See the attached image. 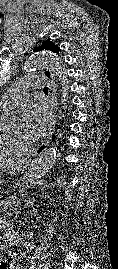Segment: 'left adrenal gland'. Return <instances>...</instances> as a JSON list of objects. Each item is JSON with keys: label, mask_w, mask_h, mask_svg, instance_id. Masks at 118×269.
Instances as JSON below:
<instances>
[{"label": "left adrenal gland", "mask_w": 118, "mask_h": 269, "mask_svg": "<svg viewBox=\"0 0 118 269\" xmlns=\"http://www.w3.org/2000/svg\"><path fill=\"white\" fill-rule=\"evenodd\" d=\"M21 189H22V190H21V192H22V191H23V189H24V186H21Z\"/></svg>", "instance_id": "left-adrenal-gland-1"}]
</instances>
